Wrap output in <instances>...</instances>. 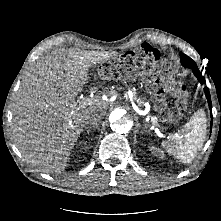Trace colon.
Returning <instances> with one entry per match:
<instances>
[{"label": "colon", "mask_w": 221, "mask_h": 221, "mask_svg": "<svg viewBox=\"0 0 221 221\" xmlns=\"http://www.w3.org/2000/svg\"><path fill=\"white\" fill-rule=\"evenodd\" d=\"M146 52H142L141 50L136 51L134 56L141 59V65L138 67L140 72L146 73L147 67L157 62V58L153 55L154 49L152 47H145ZM135 69L133 67H127L125 62H120L117 64L116 62H109L102 64L99 68V74L105 79H117L119 77L125 75H131ZM184 89V87H182ZM177 107L182 110L185 107V101L183 98H180L177 102Z\"/></svg>", "instance_id": "5ec220e1"}]
</instances>
